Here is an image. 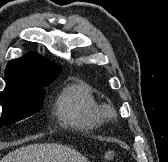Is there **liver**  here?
Masks as SVG:
<instances>
[{
    "label": "liver",
    "instance_id": "1",
    "mask_svg": "<svg viewBox=\"0 0 168 162\" xmlns=\"http://www.w3.org/2000/svg\"><path fill=\"white\" fill-rule=\"evenodd\" d=\"M0 162H89L68 146L57 143L31 144L8 153Z\"/></svg>",
    "mask_w": 168,
    "mask_h": 162
}]
</instances>
